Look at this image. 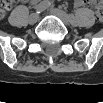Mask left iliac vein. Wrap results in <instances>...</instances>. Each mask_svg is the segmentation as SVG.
<instances>
[{
	"instance_id": "1",
	"label": "left iliac vein",
	"mask_w": 103,
	"mask_h": 103,
	"mask_svg": "<svg viewBox=\"0 0 103 103\" xmlns=\"http://www.w3.org/2000/svg\"><path fill=\"white\" fill-rule=\"evenodd\" d=\"M51 13L57 16L58 18H60L65 25L70 24L69 16L61 9H58V8L51 9Z\"/></svg>"
}]
</instances>
